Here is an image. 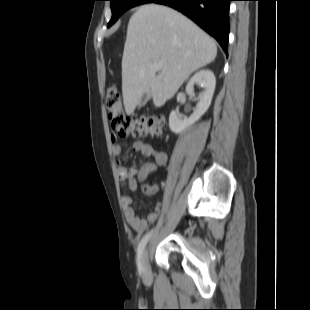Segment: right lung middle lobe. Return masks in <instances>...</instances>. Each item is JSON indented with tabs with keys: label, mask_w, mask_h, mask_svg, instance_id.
Returning a JSON list of instances; mask_svg holds the SVG:
<instances>
[{
	"label": "right lung middle lobe",
	"mask_w": 310,
	"mask_h": 310,
	"mask_svg": "<svg viewBox=\"0 0 310 310\" xmlns=\"http://www.w3.org/2000/svg\"><path fill=\"white\" fill-rule=\"evenodd\" d=\"M110 1H111L112 18L108 23V27H110L113 23H115L117 19L127 9L140 4L149 3L151 0H110Z\"/></svg>",
	"instance_id": "dd1d6c3e"
}]
</instances>
